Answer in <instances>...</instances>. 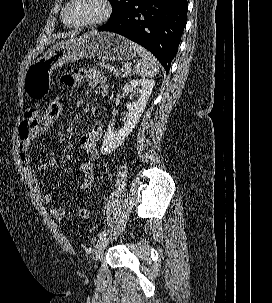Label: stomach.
Segmentation results:
<instances>
[{
    "mask_svg": "<svg viewBox=\"0 0 272 303\" xmlns=\"http://www.w3.org/2000/svg\"><path fill=\"white\" fill-rule=\"evenodd\" d=\"M135 57L132 42L109 32H89L62 41L48 49L27 69L23 88L32 99H43L50 89V77L57 67L83 58L127 62Z\"/></svg>",
    "mask_w": 272,
    "mask_h": 303,
    "instance_id": "1",
    "label": "stomach"
}]
</instances>
